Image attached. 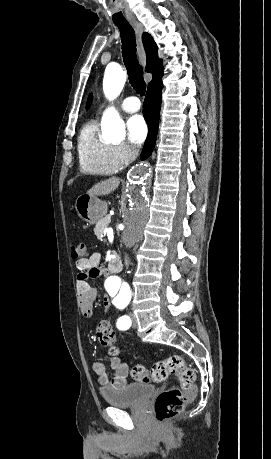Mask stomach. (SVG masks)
Here are the masks:
<instances>
[{
    "instance_id": "1",
    "label": "stomach",
    "mask_w": 271,
    "mask_h": 459,
    "mask_svg": "<svg viewBox=\"0 0 271 459\" xmlns=\"http://www.w3.org/2000/svg\"><path fill=\"white\" fill-rule=\"evenodd\" d=\"M76 212L82 220H85L87 224H97L100 220H103L107 214V206L105 202H101L98 198H92V196H79L75 204Z\"/></svg>"
}]
</instances>
